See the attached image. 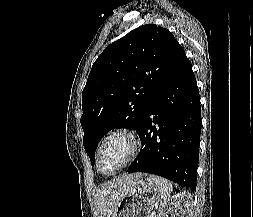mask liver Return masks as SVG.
<instances>
[{"label":"liver","mask_w":253,"mask_h":217,"mask_svg":"<svg viewBox=\"0 0 253 217\" xmlns=\"http://www.w3.org/2000/svg\"><path fill=\"white\" fill-rule=\"evenodd\" d=\"M141 176V173L122 174L97 188L94 194L96 217H114L119 201L132 190Z\"/></svg>","instance_id":"liver-1"}]
</instances>
